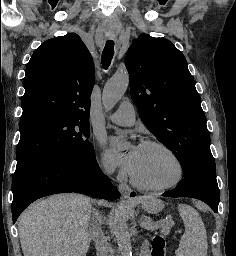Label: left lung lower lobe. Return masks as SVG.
I'll return each mask as SVG.
<instances>
[{
    "label": "left lung lower lobe",
    "mask_w": 236,
    "mask_h": 256,
    "mask_svg": "<svg viewBox=\"0 0 236 256\" xmlns=\"http://www.w3.org/2000/svg\"><path fill=\"white\" fill-rule=\"evenodd\" d=\"M165 197H192L207 203L214 212L218 211L220 199L216 176L193 173L181 180L172 191L165 192Z\"/></svg>",
    "instance_id": "obj_1"
}]
</instances>
